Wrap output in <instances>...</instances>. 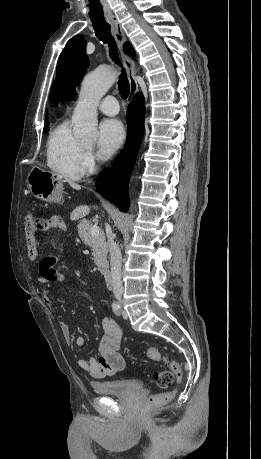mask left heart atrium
<instances>
[{"label":"left heart atrium","mask_w":261,"mask_h":459,"mask_svg":"<svg viewBox=\"0 0 261 459\" xmlns=\"http://www.w3.org/2000/svg\"><path fill=\"white\" fill-rule=\"evenodd\" d=\"M125 139L122 123L116 119H106L99 126L98 151L103 159H109L121 147Z\"/></svg>","instance_id":"obj_1"}]
</instances>
